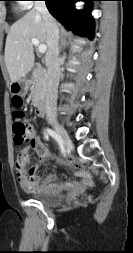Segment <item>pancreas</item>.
<instances>
[{"instance_id":"cf45deb5","label":"pancreas","mask_w":133,"mask_h":253,"mask_svg":"<svg viewBox=\"0 0 133 253\" xmlns=\"http://www.w3.org/2000/svg\"><path fill=\"white\" fill-rule=\"evenodd\" d=\"M47 85V74L44 69L37 68L34 70L32 75V101L33 103H37L40 98L45 94Z\"/></svg>"}]
</instances>
